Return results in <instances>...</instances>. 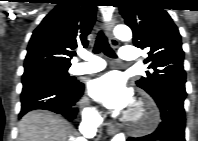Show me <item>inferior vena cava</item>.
<instances>
[{
    "mask_svg": "<svg viewBox=\"0 0 198 141\" xmlns=\"http://www.w3.org/2000/svg\"><path fill=\"white\" fill-rule=\"evenodd\" d=\"M101 121L102 118L100 115L95 111H91L84 117V122L87 123L89 127L85 129L83 126H81L80 131L84 134L85 137L91 138L96 134L97 127Z\"/></svg>",
    "mask_w": 198,
    "mask_h": 141,
    "instance_id": "inferior-vena-cava-1",
    "label": "inferior vena cava"
}]
</instances>
